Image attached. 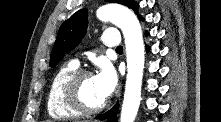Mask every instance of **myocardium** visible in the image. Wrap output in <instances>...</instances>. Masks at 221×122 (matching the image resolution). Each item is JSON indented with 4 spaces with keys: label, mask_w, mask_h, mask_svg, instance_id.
I'll return each instance as SVG.
<instances>
[{
    "label": "myocardium",
    "mask_w": 221,
    "mask_h": 122,
    "mask_svg": "<svg viewBox=\"0 0 221 122\" xmlns=\"http://www.w3.org/2000/svg\"><path fill=\"white\" fill-rule=\"evenodd\" d=\"M91 76H93L92 72L78 69L67 78L62 87V96L65 103L81 114H96L107 106L106 100L97 106H89L83 101L80 94L81 83L85 78Z\"/></svg>",
    "instance_id": "f54148a6"
}]
</instances>
